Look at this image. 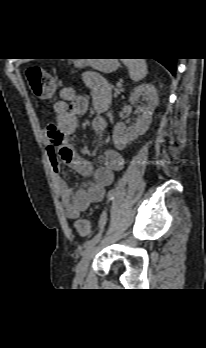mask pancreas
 I'll use <instances>...</instances> for the list:
<instances>
[{"label":"pancreas","instance_id":"cf45deb5","mask_svg":"<svg viewBox=\"0 0 206 348\" xmlns=\"http://www.w3.org/2000/svg\"><path fill=\"white\" fill-rule=\"evenodd\" d=\"M123 88H122V86L121 87H116V88H114V97L116 98V97H118V95H120L121 94V92H123Z\"/></svg>","mask_w":206,"mask_h":348}]
</instances>
